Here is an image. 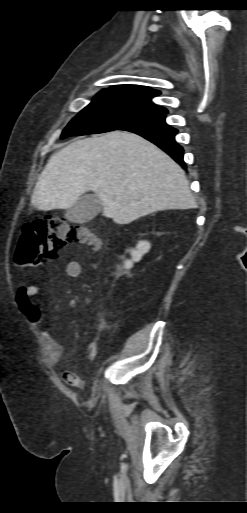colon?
Returning <instances> with one entry per match:
<instances>
[{"label": "colon", "mask_w": 247, "mask_h": 513, "mask_svg": "<svg viewBox=\"0 0 247 513\" xmlns=\"http://www.w3.org/2000/svg\"><path fill=\"white\" fill-rule=\"evenodd\" d=\"M98 243L99 240L89 230L68 224L61 218L36 219L22 227L14 262L20 267L39 266L54 259L58 251L69 244ZM93 346L97 350V345Z\"/></svg>", "instance_id": "obj_1"}]
</instances>
